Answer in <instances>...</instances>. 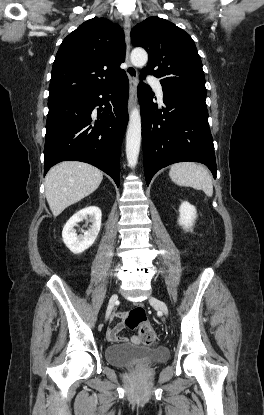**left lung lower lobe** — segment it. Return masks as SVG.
Segmentation results:
<instances>
[{"label":"left lung lower lobe","mask_w":264,"mask_h":415,"mask_svg":"<svg viewBox=\"0 0 264 415\" xmlns=\"http://www.w3.org/2000/svg\"><path fill=\"white\" fill-rule=\"evenodd\" d=\"M144 77L140 74L141 79ZM162 88L165 106L158 110L152 101L151 88L142 82L138 86L147 185L158 170L182 161L203 163L216 178L206 91L188 87Z\"/></svg>","instance_id":"obj_1"}]
</instances>
